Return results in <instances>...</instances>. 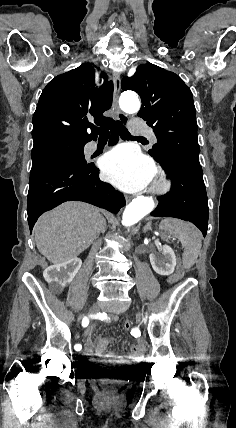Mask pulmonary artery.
<instances>
[{"label": "pulmonary artery", "mask_w": 236, "mask_h": 428, "mask_svg": "<svg viewBox=\"0 0 236 428\" xmlns=\"http://www.w3.org/2000/svg\"><path fill=\"white\" fill-rule=\"evenodd\" d=\"M153 140H156L155 136H152ZM98 149V145L95 142H90L86 145L85 151L87 154H93L94 152H96Z\"/></svg>", "instance_id": "pulmonary-artery-1"}]
</instances>
